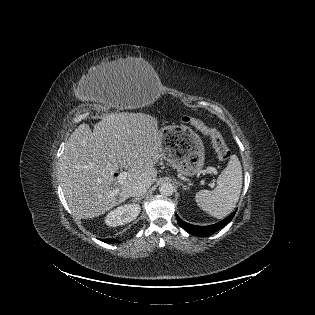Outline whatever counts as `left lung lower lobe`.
Returning a JSON list of instances; mask_svg holds the SVG:
<instances>
[{
  "label": "left lung lower lobe",
  "instance_id": "0a47b994",
  "mask_svg": "<svg viewBox=\"0 0 315 315\" xmlns=\"http://www.w3.org/2000/svg\"><path fill=\"white\" fill-rule=\"evenodd\" d=\"M235 213H236V211H234L231 215H229L224 220H222L216 224L209 225V226H197V225H192V224L186 223L181 218H179V216H177V215H176V218H177L179 224L181 225V227L185 231H187L190 234L196 235L198 237H204V236H209V235L217 232L218 230L223 228L225 225H227L233 219Z\"/></svg>",
  "mask_w": 315,
  "mask_h": 315
}]
</instances>
